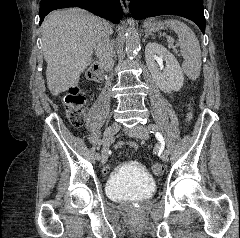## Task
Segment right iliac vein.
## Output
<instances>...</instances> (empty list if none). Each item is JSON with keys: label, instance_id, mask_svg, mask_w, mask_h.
Segmentation results:
<instances>
[{"label": "right iliac vein", "instance_id": "1", "mask_svg": "<svg viewBox=\"0 0 240 238\" xmlns=\"http://www.w3.org/2000/svg\"><path fill=\"white\" fill-rule=\"evenodd\" d=\"M120 127L118 124L114 123L111 126H109L105 132L103 137V149L101 154V162L104 164L107 161L108 158V149L110 146V143L112 142L114 135L119 131Z\"/></svg>", "mask_w": 240, "mask_h": 238}]
</instances>
